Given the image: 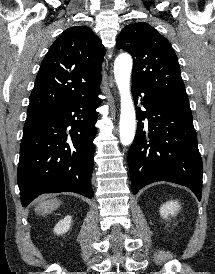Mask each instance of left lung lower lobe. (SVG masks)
<instances>
[{"instance_id":"0a47b994","label":"left lung lower lobe","mask_w":215,"mask_h":274,"mask_svg":"<svg viewBox=\"0 0 215 274\" xmlns=\"http://www.w3.org/2000/svg\"><path fill=\"white\" fill-rule=\"evenodd\" d=\"M137 110L135 141L128 153L133 194L157 181L177 183L202 195V159L189 105L175 103L146 86L132 82Z\"/></svg>"}]
</instances>
